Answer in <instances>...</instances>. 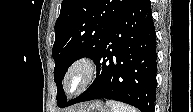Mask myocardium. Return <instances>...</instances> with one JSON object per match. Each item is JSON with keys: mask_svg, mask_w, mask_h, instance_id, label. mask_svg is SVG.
I'll use <instances>...</instances> for the list:
<instances>
[{"mask_svg": "<svg viewBox=\"0 0 193 112\" xmlns=\"http://www.w3.org/2000/svg\"><path fill=\"white\" fill-rule=\"evenodd\" d=\"M80 73L82 81L80 86L75 91H70L69 82L71 78ZM97 75V64L95 60L89 55H80L76 57L68 66L64 78L63 88L69 96H78L85 92L94 82Z\"/></svg>", "mask_w": 193, "mask_h": 112, "instance_id": "obj_1", "label": "myocardium"}]
</instances>
